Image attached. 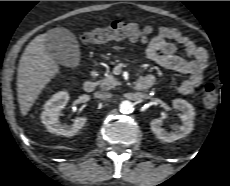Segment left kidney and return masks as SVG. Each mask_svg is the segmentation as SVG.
Segmentation results:
<instances>
[{
	"label": "left kidney",
	"mask_w": 230,
	"mask_h": 186,
	"mask_svg": "<svg viewBox=\"0 0 230 186\" xmlns=\"http://www.w3.org/2000/svg\"><path fill=\"white\" fill-rule=\"evenodd\" d=\"M173 108L182 112L180 115L181 125L176 126L175 131L168 132L163 126L161 118L153 119L150 123L152 132L156 137L164 142H173L187 136L193 130V119L195 112L193 106L183 99H174Z\"/></svg>",
	"instance_id": "1"
}]
</instances>
